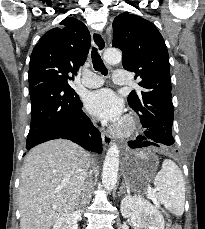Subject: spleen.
Wrapping results in <instances>:
<instances>
[{"label":"spleen","instance_id":"3e777b00","mask_svg":"<svg viewBox=\"0 0 205 229\" xmlns=\"http://www.w3.org/2000/svg\"><path fill=\"white\" fill-rule=\"evenodd\" d=\"M147 159L148 154L139 152L135 155ZM155 189H148L151 197L157 199L171 213L181 216L185 204V180L179 167L169 159H165L162 168L154 179Z\"/></svg>","mask_w":205,"mask_h":229}]
</instances>
